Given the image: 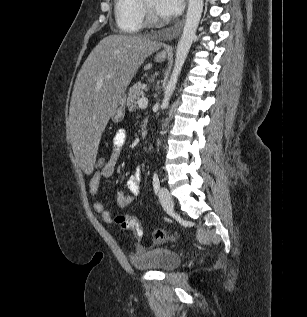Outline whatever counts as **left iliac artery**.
I'll use <instances>...</instances> for the list:
<instances>
[{"instance_id": "1", "label": "left iliac artery", "mask_w": 307, "mask_h": 317, "mask_svg": "<svg viewBox=\"0 0 307 317\" xmlns=\"http://www.w3.org/2000/svg\"><path fill=\"white\" fill-rule=\"evenodd\" d=\"M159 188H160V179H159L157 172H154V174H153V189H154L155 194L158 193Z\"/></svg>"}]
</instances>
